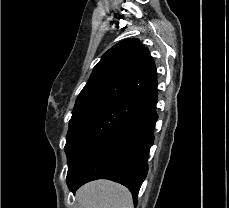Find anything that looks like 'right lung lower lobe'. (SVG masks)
I'll use <instances>...</instances> for the list:
<instances>
[{"mask_svg":"<svg viewBox=\"0 0 229 208\" xmlns=\"http://www.w3.org/2000/svg\"><path fill=\"white\" fill-rule=\"evenodd\" d=\"M156 103L157 100L84 155L67 174L66 181L72 192L88 181L110 179L126 186L136 204L148 172L147 160L154 142L153 133L158 119Z\"/></svg>","mask_w":229,"mask_h":208,"instance_id":"1","label":"right lung lower lobe"}]
</instances>
